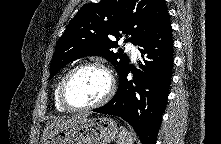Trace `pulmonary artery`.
<instances>
[{"instance_id":"1","label":"pulmonary artery","mask_w":221,"mask_h":144,"mask_svg":"<svg viewBox=\"0 0 221 144\" xmlns=\"http://www.w3.org/2000/svg\"><path fill=\"white\" fill-rule=\"evenodd\" d=\"M127 50L131 53L132 59L135 61L138 55V48L133 43H128L126 45Z\"/></svg>"}]
</instances>
